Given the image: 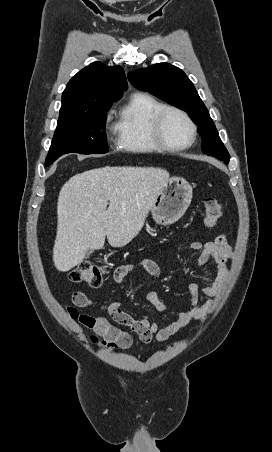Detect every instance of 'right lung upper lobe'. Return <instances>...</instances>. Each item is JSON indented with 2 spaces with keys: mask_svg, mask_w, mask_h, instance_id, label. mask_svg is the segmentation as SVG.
Here are the masks:
<instances>
[{
  "mask_svg": "<svg viewBox=\"0 0 272 452\" xmlns=\"http://www.w3.org/2000/svg\"><path fill=\"white\" fill-rule=\"evenodd\" d=\"M127 88L122 67L94 62L68 82L62 94L59 118L87 114L111 106Z\"/></svg>",
  "mask_w": 272,
  "mask_h": 452,
  "instance_id": "obj_1",
  "label": "right lung upper lobe"
}]
</instances>
